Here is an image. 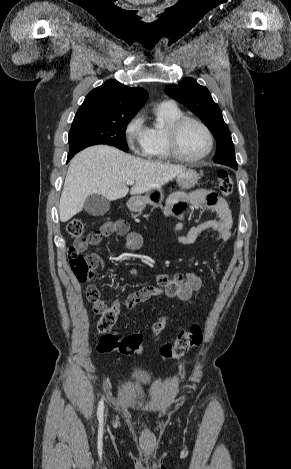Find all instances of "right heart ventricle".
<instances>
[{
	"label": "right heart ventricle",
	"mask_w": 291,
	"mask_h": 469,
	"mask_svg": "<svg viewBox=\"0 0 291 469\" xmlns=\"http://www.w3.org/2000/svg\"><path fill=\"white\" fill-rule=\"evenodd\" d=\"M156 122L147 127V138L143 155L152 161L172 159L166 141L168 126L183 116V112L171 103H161L155 109Z\"/></svg>",
	"instance_id": "right-heart-ventricle-1"
}]
</instances>
